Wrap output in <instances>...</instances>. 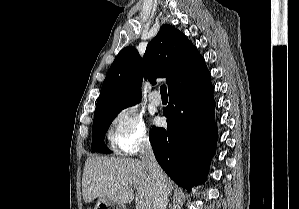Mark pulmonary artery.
I'll use <instances>...</instances> for the list:
<instances>
[{"mask_svg":"<svg viewBox=\"0 0 299 209\" xmlns=\"http://www.w3.org/2000/svg\"><path fill=\"white\" fill-rule=\"evenodd\" d=\"M149 101L153 106H159L161 104V98L158 96L157 91H152L149 96Z\"/></svg>","mask_w":299,"mask_h":209,"instance_id":"pulmonary-artery-1","label":"pulmonary artery"}]
</instances>
